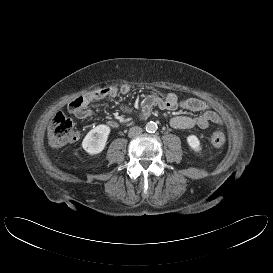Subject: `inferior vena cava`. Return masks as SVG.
<instances>
[{
  "label": "inferior vena cava",
  "instance_id": "obj_1",
  "mask_svg": "<svg viewBox=\"0 0 273 273\" xmlns=\"http://www.w3.org/2000/svg\"><path fill=\"white\" fill-rule=\"evenodd\" d=\"M143 130L139 126H134L129 129L128 136L130 138H134L137 136H140L142 134Z\"/></svg>",
  "mask_w": 273,
  "mask_h": 273
}]
</instances>
